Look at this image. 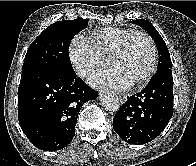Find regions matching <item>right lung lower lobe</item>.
Instances as JSON below:
<instances>
[{"label": "right lung lower lobe", "mask_w": 196, "mask_h": 166, "mask_svg": "<svg viewBox=\"0 0 196 166\" xmlns=\"http://www.w3.org/2000/svg\"><path fill=\"white\" fill-rule=\"evenodd\" d=\"M98 97L76 73L34 69L22 73L18 88L19 124L37 148L60 150L75 135L82 105Z\"/></svg>", "instance_id": "1"}]
</instances>
